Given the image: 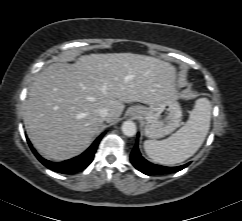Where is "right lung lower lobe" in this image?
I'll use <instances>...</instances> for the list:
<instances>
[{
	"mask_svg": "<svg viewBox=\"0 0 242 221\" xmlns=\"http://www.w3.org/2000/svg\"><path fill=\"white\" fill-rule=\"evenodd\" d=\"M103 137V134L100 135L94 142L93 144L81 155L72 158L70 160H66L64 162H60V163H54V162H50L46 159H43L36 151L35 149L31 146L30 142L28 141L33 153L36 155V157L38 158V160L44 164L47 168L55 171V172H59V173H63V174H73L79 171H82L83 169H85L93 160L94 158V154L97 150L98 144L101 140V138Z\"/></svg>",
	"mask_w": 242,
	"mask_h": 221,
	"instance_id": "right-lung-lower-lobe-1",
	"label": "right lung lower lobe"
}]
</instances>
